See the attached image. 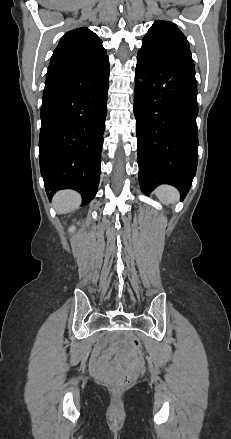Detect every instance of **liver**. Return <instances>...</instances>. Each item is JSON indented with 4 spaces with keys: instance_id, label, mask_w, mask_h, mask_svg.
Here are the masks:
<instances>
[{
    "instance_id": "obj_1",
    "label": "liver",
    "mask_w": 231,
    "mask_h": 439,
    "mask_svg": "<svg viewBox=\"0 0 231 439\" xmlns=\"http://www.w3.org/2000/svg\"><path fill=\"white\" fill-rule=\"evenodd\" d=\"M80 195L72 190L59 191L53 199V205L59 214H67L79 208Z\"/></svg>"
}]
</instances>
